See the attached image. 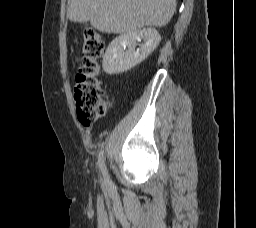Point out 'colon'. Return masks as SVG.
Instances as JSON below:
<instances>
[{
    "instance_id": "colon-1",
    "label": "colon",
    "mask_w": 256,
    "mask_h": 228,
    "mask_svg": "<svg viewBox=\"0 0 256 228\" xmlns=\"http://www.w3.org/2000/svg\"><path fill=\"white\" fill-rule=\"evenodd\" d=\"M104 40L92 27L83 32V57L74 85V99L79 120L90 123L106 112L108 101L100 80V58L104 52Z\"/></svg>"
}]
</instances>
